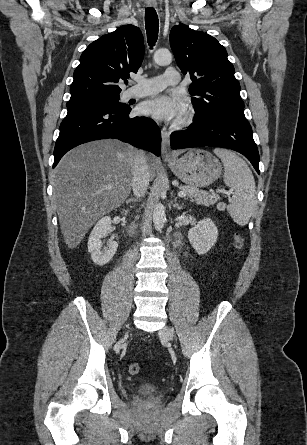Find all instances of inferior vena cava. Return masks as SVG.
Segmentation results:
<instances>
[{
	"label": "inferior vena cava",
	"instance_id": "1",
	"mask_svg": "<svg viewBox=\"0 0 307 445\" xmlns=\"http://www.w3.org/2000/svg\"><path fill=\"white\" fill-rule=\"evenodd\" d=\"M150 174L144 150H137L133 164L132 186L135 196H144L149 184Z\"/></svg>",
	"mask_w": 307,
	"mask_h": 445
}]
</instances>
